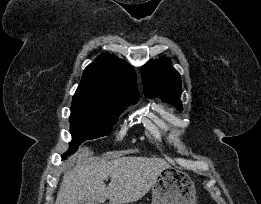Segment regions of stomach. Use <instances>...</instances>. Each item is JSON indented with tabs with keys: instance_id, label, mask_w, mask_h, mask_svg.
I'll list each match as a JSON object with an SVG mask.
<instances>
[{
	"instance_id": "obj_1",
	"label": "stomach",
	"mask_w": 261,
	"mask_h": 204,
	"mask_svg": "<svg viewBox=\"0 0 261 204\" xmlns=\"http://www.w3.org/2000/svg\"><path fill=\"white\" fill-rule=\"evenodd\" d=\"M195 199L191 177L170 166L161 170L152 186V204H195Z\"/></svg>"
}]
</instances>
